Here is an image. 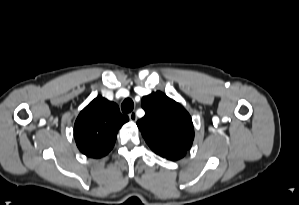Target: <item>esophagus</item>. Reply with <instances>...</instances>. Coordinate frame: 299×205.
<instances>
[{
  "mask_svg": "<svg viewBox=\"0 0 299 205\" xmlns=\"http://www.w3.org/2000/svg\"><path fill=\"white\" fill-rule=\"evenodd\" d=\"M129 119L132 121V122H135L137 120V115H136V112H131L129 114Z\"/></svg>",
  "mask_w": 299,
  "mask_h": 205,
  "instance_id": "34e87169",
  "label": "esophagus"
}]
</instances>
